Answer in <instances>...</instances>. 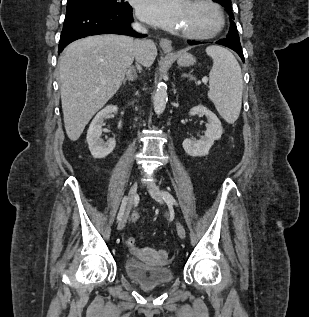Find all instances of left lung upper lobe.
<instances>
[{
    "label": "left lung upper lobe",
    "instance_id": "obj_1",
    "mask_svg": "<svg viewBox=\"0 0 309 317\" xmlns=\"http://www.w3.org/2000/svg\"><path fill=\"white\" fill-rule=\"evenodd\" d=\"M215 2L220 3L222 6L225 7V10L228 12L229 16H230V30L229 33L227 35V39L232 40L234 42L240 43L239 41V35H238V30H237V26L234 23V21L232 19H234V15L232 13V4H231V0H213Z\"/></svg>",
    "mask_w": 309,
    "mask_h": 317
}]
</instances>
